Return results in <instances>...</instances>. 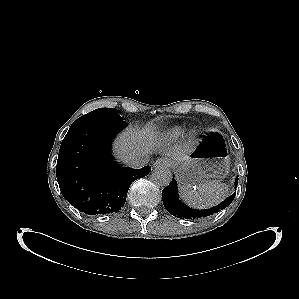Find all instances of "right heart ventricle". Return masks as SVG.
Returning <instances> with one entry per match:
<instances>
[{
    "mask_svg": "<svg viewBox=\"0 0 299 299\" xmlns=\"http://www.w3.org/2000/svg\"><path fill=\"white\" fill-rule=\"evenodd\" d=\"M181 132H182V130L180 128H174L165 134V138L166 139L177 138L181 134Z\"/></svg>",
    "mask_w": 299,
    "mask_h": 299,
    "instance_id": "obj_1",
    "label": "right heart ventricle"
}]
</instances>
